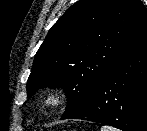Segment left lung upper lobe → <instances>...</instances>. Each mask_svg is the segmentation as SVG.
<instances>
[{
	"mask_svg": "<svg viewBox=\"0 0 147 131\" xmlns=\"http://www.w3.org/2000/svg\"><path fill=\"white\" fill-rule=\"evenodd\" d=\"M147 41V9L140 0H80L51 27L36 53L27 96L50 86L64 88L61 119L89 100L108 71Z\"/></svg>",
	"mask_w": 147,
	"mask_h": 131,
	"instance_id": "1",
	"label": "left lung upper lobe"
}]
</instances>
